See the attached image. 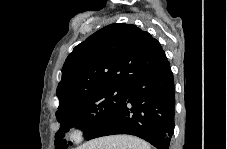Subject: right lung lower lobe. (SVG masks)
Listing matches in <instances>:
<instances>
[{"label": "right lung lower lobe", "instance_id": "1", "mask_svg": "<svg viewBox=\"0 0 227 149\" xmlns=\"http://www.w3.org/2000/svg\"><path fill=\"white\" fill-rule=\"evenodd\" d=\"M175 90L167 61L126 88L125 102L86 138L129 134L169 149L174 132Z\"/></svg>", "mask_w": 227, "mask_h": 149}]
</instances>
